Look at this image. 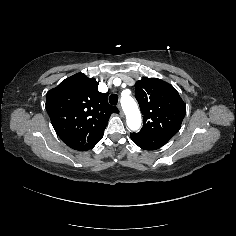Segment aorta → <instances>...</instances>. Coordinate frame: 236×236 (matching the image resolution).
Instances as JSON below:
<instances>
[{
	"instance_id": "aorta-1",
	"label": "aorta",
	"mask_w": 236,
	"mask_h": 236,
	"mask_svg": "<svg viewBox=\"0 0 236 236\" xmlns=\"http://www.w3.org/2000/svg\"><path fill=\"white\" fill-rule=\"evenodd\" d=\"M120 104L126 115V124L131 131H138L142 125V118L137 104L131 94L121 93Z\"/></svg>"
}]
</instances>
